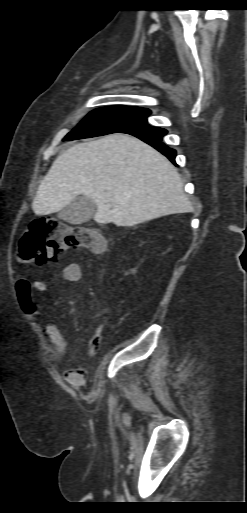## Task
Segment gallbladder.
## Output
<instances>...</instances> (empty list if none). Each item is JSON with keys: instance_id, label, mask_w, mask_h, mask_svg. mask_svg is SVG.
<instances>
[{"instance_id": "obj_1", "label": "gallbladder", "mask_w": 247, "mask_h": 513, "mask_svg": "<svg viewBox=\"0 0 247 513\" xmlns=\"http://www.w3.org/2000/svg\"><path fill=\"white\" fill-rule=\"evenodd\" d=\"M95 211L94 201L89 197L79 195L58 213V218L71 224H82L92 219Z\"/></svg>"}]
</instances>
